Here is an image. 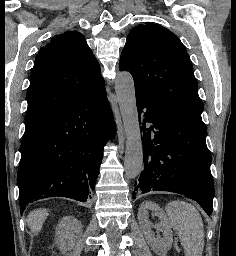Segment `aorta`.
Listing matches in <instances>:
<instances>
[{
	"mask_svg": "<svg viewBox=\"0 0 236 256\" xmlns=\"http://www.w3.org/2000/svg\"><path fill=\"white\" fill-rule=\"evenodd\" d=\"M115 91L126 135L124 170L128 178L134 179L143 170V147L134 81L130 73L117 74Z\"/></svg>",
	"mask_w": 236,
	"mask_h": 256,
	"instance_id": "obj_1",
	"label": "aorta"
}]
</instances>
